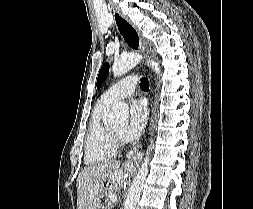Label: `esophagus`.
<instances>
[{"instance_id": "obj_1", "label": "esophagus", "mask_w": 253, "mask_h": 209, "mask_svg": "<svg viewBox=\"0 0 253 209\" xmlns=\"http://www.w3.org/2000/svg\"><path fill=\"white\" fill-rule=\"evenodd\" d=\"M113 18L125 43L130 47V49L135 52L144 51L145 46L142 43L140 34L136 27L130 22V20H128V18H126L120 12H114ZM122 28L124 29V31L122 30ZM137 160L138 152L135 150L128 155V160L125 162V164L127 166H130L133 165V162H136Z\"/></svg>"}]
</instances>
